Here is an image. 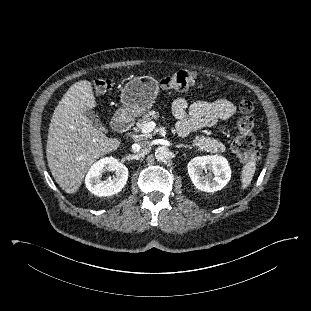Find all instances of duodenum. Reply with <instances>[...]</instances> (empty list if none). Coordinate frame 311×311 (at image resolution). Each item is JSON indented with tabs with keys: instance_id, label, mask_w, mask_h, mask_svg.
Returning a JSON list of instances; mask_svg holds the SVG:
<instances>
[{
	"instance_id": "obj_1",
	"label": "duodenum",
	"mask_w": 311,
	"mask_h": 311,
	"mask_svg": "<svg viewBox=\"0 0 311 311\" xmlns=\"http://www.w3.org/2000/svg\"><path fill=\"white\" fill-rule=\"evenodd\" d=\"M132 119L127 114H118L112 121V127L118 132H125L130 129Z\"/></svg>"
}]
</instances>
